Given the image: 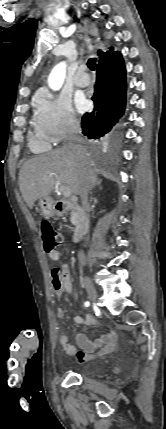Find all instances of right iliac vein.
I'll return each instance as SVG.
<instances>
[{
    "mask_svg": "<svg viewBox=\"0 0 166 429\" xmlns=\"http://www.w3.org/2000/svg\"><path fill=\"white\" fill-rule=\"evenodd\" d=\"M82 281H83V284L86 288V291L88 293V297H89L90 301H92L93 303H96L97 302V292H96V289L93 286L91 280L87 276H84Z\"/></svg>",
    "mask_w": 166,
    "mask_h": 429,
    "instance_id": "1",
    "label": "right iliac vein"
}]
</instances>
